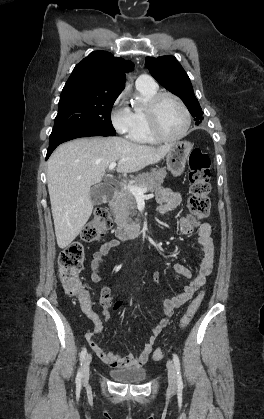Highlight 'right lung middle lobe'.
I'll return each mask as SVG.
<instances>
[{
    "label": "right lung middle lobe",
    "instance_id": "right-lung-middle-lobe-1",
    "mask_svg": "<svg viewBox=\"0 0 264 419\" xmlns=\"http://www.w3.org/2000/svg\"><path fill=\"white\" fill-rule=\"evenodd\" d=\"M119 94L98 92L82 86L64 87L49 144L79 131L115 134L111 109Z\"/></svg>",
    "mask_w": 264,
    "mask_h": 419
}]
</instances>
